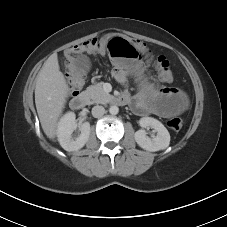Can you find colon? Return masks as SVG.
<instances>
[{
    "instance_id": "5ec220e1",
    "label": "colon",
    "mask_w": 227,
    "mask_h": 227,
    "mask_svg": "<svg viewBox=\"0 0 227 227\" xmlns=\"http://www.w3.org/2000/svg\"><path fill=\"white\" fill-rule=\"evenodd\" d=\"M104 51H107L116 62L125 59H136L143 55L155 67L159 78L163 82L170 83L173 81L174 75L170 62L164 56H156L148 49L144 42L120 34L103 35L68 48L65 51L66 63L77 53H101ZM67 82L70 91L74 93H77L84 83V81L79 84ZM167 125L171 130L179 131L183 126V120L181 117H172L168 120Z\"/></svg>"
}]
</instances>
